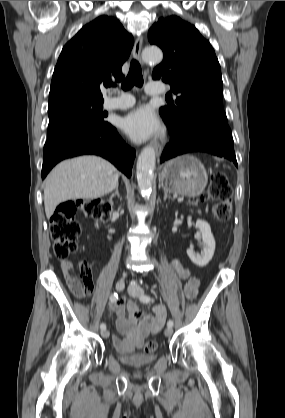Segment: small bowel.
<instances>
[{
	"label": "small bowel",
	"instance_id": "c3829d8e",
	"mask_svg": "<svg viewBox=\"0 0 285 418\" xmlns=\"http://www.w3.org/2000/svg\"><path fill=\"white\" fill-rule=\"evenodd\" d=\"M64 266L66 268L64 272L65 280L73 292L78 282L86 285L89 293L92 292L93 277L90 264L79 261V272L73 263H66ZM172 266L179 277L186 280L184 285L185 296L188 299L195 298L200 285L199 279L192 275V271L188 267L176 259L172 261ZM126 308L128 312L127 318L124 316L122 301L115 302L110 309V317L116 316L119 330L127 337L126 341H122L118 336L114 335L112 337L114 347L117 350L128 352L133 349H139L144 338L157 334L162 329L167 318V311L162 304L156 305L153 313L149 314L143 313L133 302H128Z\"/></svg>",
	"mask_w": 285,
	"mask_h": 418
}]
</instances>
